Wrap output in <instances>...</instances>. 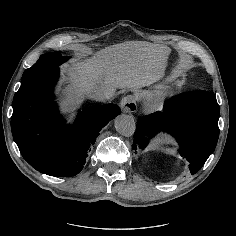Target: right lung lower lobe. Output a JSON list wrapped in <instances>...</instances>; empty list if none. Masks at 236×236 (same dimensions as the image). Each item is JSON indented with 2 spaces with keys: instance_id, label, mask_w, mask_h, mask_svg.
<instances>
[{
  "instance_id": "98d812e1",
  "label": "right lung lower lobe",
  "mask_w": 236,
  "mask_h": 236,
  "mask_svg": "<svg viewBox=\"0 0 236 236\" xmlns=\"http://www.w3.org/2000/svg\"><path fill=\"white\" fill-rule=\"evenodd\" d=\"M58 66L21 81L13 99L11 130L24 159L51 176L77 175L100 130L121 113L115 104L85 108L74 126L61 119L54 103L53 86Z\"/></svg>"
}]
</instances>
